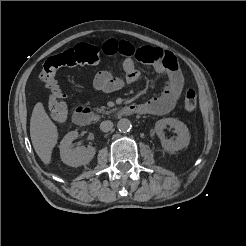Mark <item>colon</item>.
Here are the masks:
<instances>
[{
  "instance_id": "obj_1",
  "label": "colon",
  "mask_w": 246,
  "mask_h": 246,
  "mask_svg": "<svg viewBox=\"0 0 246 246\" xmlns=\"http://www.w3.org/2000/svg\"><path fill=\"white\" fill-rule=\"evenodd\" d=\"M99 50L88 44H79L62 53L49 57L42 66L40 80L49 91V107L52 119L62 123L67 117L64 95L56 81V71L61 67L95 64L99 60ZM184 109L193 112L197 108V95L193 89H187L183 100Z\"/></svg>"
}]
</instances>
